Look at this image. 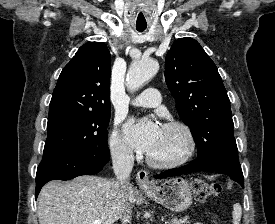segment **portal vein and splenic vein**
Listing matches in <instances>:
<instances>
[{
    "mask_svg": "<svg viewBox=\"0 0 275 224\" xmlns=\"http://www.w3.org/2000/svg\"><path fill=\"white\" fill-rule=\"evenodd\" d=\"M93 224H101V220H97V221L93 222Z\"/></svg>",
    "mask_w": 275,
    "mask_h": 224,
    "instance_id": "obj_1",
    "label": "portal vein and splenic vein"
}]
</instances>
